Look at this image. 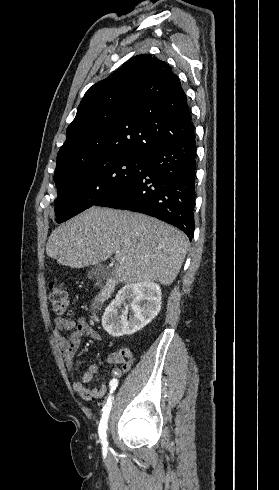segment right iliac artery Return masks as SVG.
<instances>
[{"mask_svg":"<svg viewBox=\"0 0 279 490\" xmlns=\"http://www.w3.org/2000/svg\"><path fill=\"white\" fill-rule=\"evenodd\" d=\"M119 383L120 382H119V380H117L116 377L112 378V382H110V384H109L110 390H111L110 393H112L113 391H115L117 389V385H119ZM111 407H112V396L110 395L107 399L106 404L103 407V414H102V418L100 420L99 428H98V433H99V436L101 439V443L103 445V451H106L107 446H108L106 430L108 428L107 422H108V417L110 414Z\"/></svg>","mask_w":279,"mask_h":490,"instance_id":"obj_1","label":"right iliac artery"}]
</instances>
